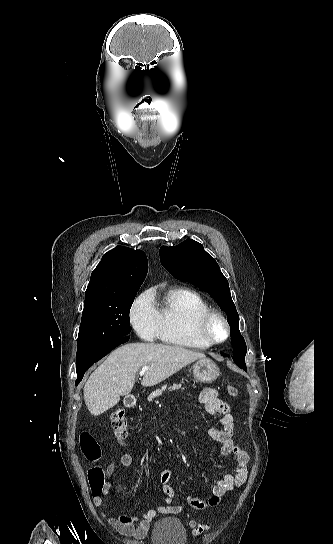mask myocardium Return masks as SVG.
Wrapping results in <instances>:
<instances>
[{
  "label": "myocardium",
  "instance_id": "f54148a6",
  "mask_svg": "<svg viewBox=\"0 0 333 544\" xmlns=\"http://www.w3.org/2000/svg\"><path fill=\"white\" fill-rule=\"evenodd\" d=\"M215 321H219L225 328V337L223 339H217L212 334V324ZM198 334L200 338L208 345H220L229 339L231 335V328L227 318L220 311L210 309L199 319Z\"/></svg>",
  "mask_w": 333,
  "mask_h": 544
}]
</instances>
